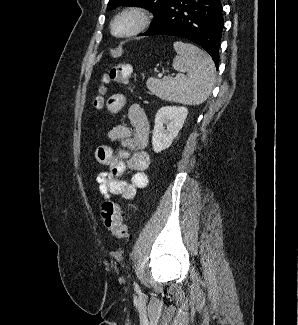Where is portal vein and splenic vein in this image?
Here are the masks:
<instances>
[{
	"mask_svg": "<svg viewBox=\"0 0 298 325\" xmlns=\"http://www.w3.org/2000/svg\"><path fill=\"white\" fill-rule=\"evenodd\" d=\"M157 76H163V74H157Z\"/></svg>",
	"mask_w": 298,
	"mask_h": 325,
	"instance_id": "18ae733b",
	"label": "portal vein and splenic vein"
}]
</instances>
